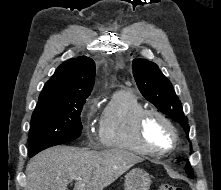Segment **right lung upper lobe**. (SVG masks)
I'll return each instance as SVG.
<instances>
[{
	"label": "right lung upper lobe",
	"mask_w": 221,
	"mask_h": 190,
	"mask_svg": "<svg viewBox=\"0 0 221 190\" xmlns=\"http://www.w3.org/2000/svg\"><path fill=\"white\" fill-rule=\"evenodd\" d=\"M95 63L86 56L61 64L43 87L36 107L86 101L94 86Z\"/></svg>",
	"instance_id": "right-lung-upper-lobe-1"
}]
</instances>
